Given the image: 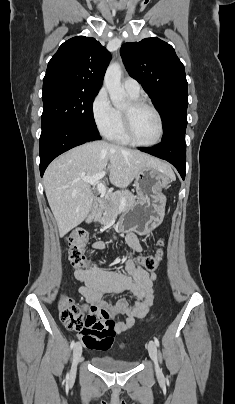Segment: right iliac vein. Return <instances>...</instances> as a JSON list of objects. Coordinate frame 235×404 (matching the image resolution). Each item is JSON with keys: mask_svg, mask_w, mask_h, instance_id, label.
Returning a JSON list of instances; mask_svg holds the SVG:
<instances>
[{"mask_svg": "<svg viewBox=\"0 0 235 404\" xmlns=\"http://www.w3.org/2000/svg\"><path fill=\"white\" fill-rule=\"evenodd\" d=\"M82 355V345L81 343H76L74 346V350H73V362H72V368H71V377H73L76 373V369H77V365L78 362L81 358Z\"/></svg>", "mask_w": 235, "mask_h": 404, "instance_id": "1", "label": "right iliac vein"}]
</instances>
